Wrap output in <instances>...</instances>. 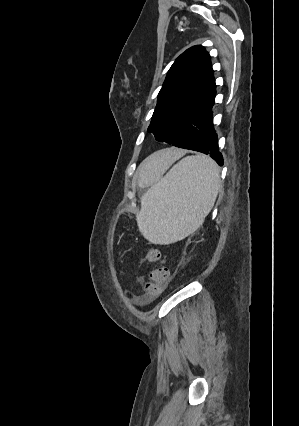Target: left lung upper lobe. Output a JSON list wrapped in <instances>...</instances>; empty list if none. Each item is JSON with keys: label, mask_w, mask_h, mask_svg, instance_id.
<instances>
[{"label": "left lung upper lobe", "mask_w": 299, "mask_h": 426, "mask_svg": "<svg viewBox=\"0 0 299 426\" xmlns=\"http://www.w3.org/2000/svg\"><path fill=\"white\" fill-rule=\"evenodd\" d=\"M215 89L209 54L200 45L189 48L167 73L148 132L157 141L172 143L189 120L215 97Z\"/></svg>", "instance_id": "1"}]
</instances>
